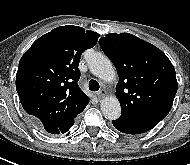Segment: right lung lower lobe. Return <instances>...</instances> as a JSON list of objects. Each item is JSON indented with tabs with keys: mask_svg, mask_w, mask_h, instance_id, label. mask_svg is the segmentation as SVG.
<instances>
[{
	"mask_svg": "<svg viewBox=\"0 0 190 165\" xmlns=\"http://www.w3.org/2000/svg\"><path fill=\"white\" fill-rule=\"evenodd\" d=\"M33 122H34L35 124L39 125L38 122H37L36 120H34V119H33Z\"/></svg>",
	"mask_w": 190,
	"mask_h": 165,
	"instance_id": "1",
	"label": "right lung lower lobe"
}]
</instances>
